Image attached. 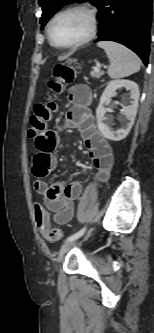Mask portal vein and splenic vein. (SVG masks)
<instances>
[{
    "label": "portal vein and splenic vein",
    "mask_w": 154,
    "mask_h": 333,
    "mask_svg": "<svg viewBox=\"0 0 154 333\" xmlns=\"http://www.w3.org/2000/svg\"><path fill=\"white\" fill-rule=\"evenodd\" d=\"M100 66L96 67L97 70H99Z\"/></svg>",
    "instance_id": "18ae733b"
}]
</instances>
